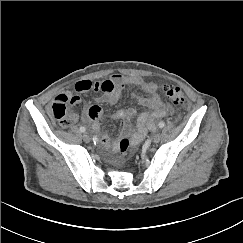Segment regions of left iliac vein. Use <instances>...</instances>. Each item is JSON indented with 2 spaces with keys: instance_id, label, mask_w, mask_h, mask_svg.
Instances as JSON below:
<instances>
[{
  "instance_id": "left-iliac-vein-1",
  "label": "left iliac vein",
  "mask_w": 243,
  "mask_h": 243,
  "mask_svg": "<svg viewBox=\"0 0 243 243\" xmlns=\"http://www.w3.org/2000/svg\"><path fill=\"white\" fill-rule=\"evenodd\" d=\"M160 139H161L160 134H155V135L153 136V138H152V142H153V143H158V142L160 141Z\"/></svg>"
}]
</instances>
